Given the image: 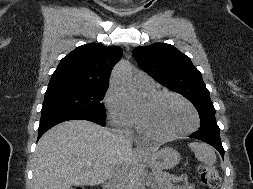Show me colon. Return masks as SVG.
<instances>
[{
  "instance_id": "1",
  "label": "colon",
  "mask_w": 253,
  "mask_h": 189,
  "mask_svg": "<svg viewBox=\"0 0 253 189\" xmlns=\"http://www.w3.org/2000/svg\"><path fill=\"white\" fill-rule=\"evenodd\" d=\"M197 170L201 182L207 187V189H218L221 182V178L217 169L206 164H200ZM74 189H83V188L75 187Z\"/></svg>"
}]
</instances>
